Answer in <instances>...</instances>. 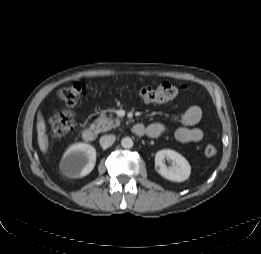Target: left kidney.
<instances>
[{
  "label": "left kidney",
  "instance_id": "obj_1",
  "mask_svg": "<svg viewBox=\"0 0 261 254\" xmlns=\"http://www.w3.org/2000/svg\"><path fill=\"white\" fill-rule=\"evenodd\" d=\"M165 159H170L173 165L167 167ZM155 168L162 177L174 182L187 180L191 173L189 162L181 154L170 149L160 150L156 153Z\"/></svg>",
  "mask_w": 261,
  "mask_h": 254
}]
</instances>
